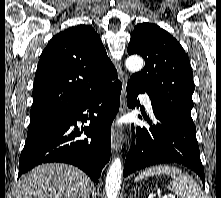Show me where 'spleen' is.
Returning a JSON list of instances; mask_svg holds the SVG:
<instances>
[{"label": "spleen", "mask_w": 221, "mask_h": 198, "mask_svg": "<svg viewBox=\"0 0 221 198\" xmlns=\"http://www.w3.org/2000/svg\"><path fill=\"white\" fill-rule=\"evenodd\" d=\"M167 175L171 177L168 189L180 198H204L203 192L198 183L187 173L179 168L170 165H158L142 171L135 181L151 176Z\"/></svg>", "instance_id": "spleen-1"}]
</instances>
